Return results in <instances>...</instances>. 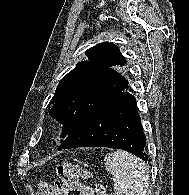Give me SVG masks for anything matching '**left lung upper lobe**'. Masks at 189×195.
<instances>
[{
    "label": "left lung upper lobe",
    "mask_w": 189,
    "mask_h": 195,
    "mask_svg": "<svg viewBox=\"0 0 189 195\" xmlns=\"http://www.w3.org/2000/svg\"><path fill=\"white\" fill-rule=\"evenodd\" d=\"M81 61L59 82L49 115L63 124L62 138L70 135L113 95L124 90L128 81L112 67L124 65L119 48L100 43L89 48Z\"/></svg>",
    "instance_id": "1"
}]
</instances>
